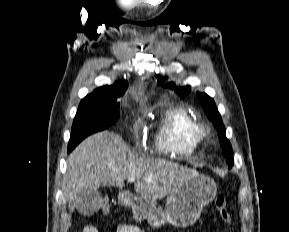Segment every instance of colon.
<instances>
[{
	"instance_id": "1",
	"label": "colon",
	"mask_w": 289,
	"mask_h": 232,
	"mask_svg": "<svg viewBox=\"0 0 289 232\" xmlns=\"http://www.w3.org/2000/svg\"><path fill=\"white\" fill-rule=\"evenodd\" d=\"M215 207L219 213L221 219L229 226V232H232V219L227 207V199L223 194H218L214 200ZM100 211L102 214L106 215L109 213V204L104 201L101 204Z\"/></svg>"
}]
</instances>
